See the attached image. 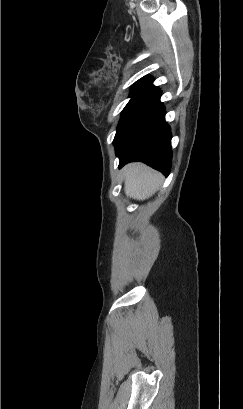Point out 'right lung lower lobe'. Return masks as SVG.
I'll return each instance as SVG.
<instances>
[{"label":"right lung lower lobe","mask_w":243,"mask_h":409,"mask_svg":"<svg viewBox=\"0 0 243 409\" xmlns=\"http://www.w3.org/2000/svg\"><path fill=\"white\" fill-rule=\"evenodd\" d=\"M161 92L155 90L133 113L114 139L119 167L142 161L168 176L171 167V132L165 122Z\"/></svg>","instance_id":"1"}]
</instances>
